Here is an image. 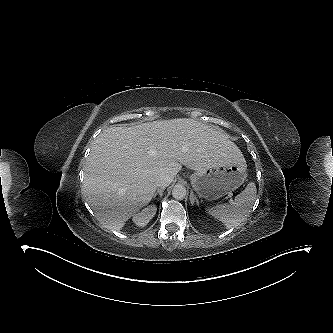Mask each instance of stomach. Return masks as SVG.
I'll list each match as a JSON object with an SVG mask.
<instances>
[{
    "mask_svg": "<svg viewBox=\"0 0 333 333\" xmlns=\"http://www.w3.org/2000/svg\"><path fill=\"white\" fill-rule=\"evenodd\" d=\"M247 165L244 158L196 171L190 176L197 195L206 200H216L236 190L246 178Z\"/></svg>",
    "mask_w": 333,
    "mask_h": 333,
    "instance_id": "0dacf381",
    "label": "stomach"
}]
</instances>
